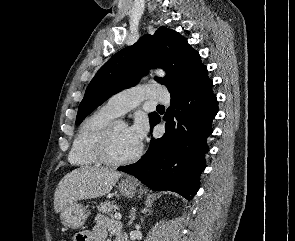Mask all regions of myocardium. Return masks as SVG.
I'll use <instances>...</instances> for the list:
<instances>
[{
  "mask_svg": "<svg viewBox=\"0 0 295 241\" xmlns=\"http://www.w3.org/2000/svg\"><path fill=\"white\" fill-rule=\"evenodd\" d=\"M119 121H112L107 128L105 129L104 133L102 134L98 144H97V156L100 159L101 163H104L109 166H122L128 165L131 163L136 162L143 153V146L140 145L136 153L132 156L123 158V159H116L111 154V144L113 140V135L115 131V127Z\"/></svg>",
  "mask_w": 295,
  "mask_h": 241,
  "instance_id": "f54148a6",
  "label": "myocardium"
}]
</instances>
